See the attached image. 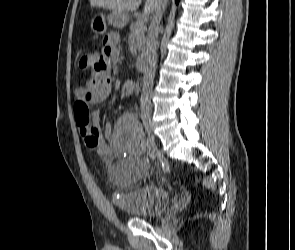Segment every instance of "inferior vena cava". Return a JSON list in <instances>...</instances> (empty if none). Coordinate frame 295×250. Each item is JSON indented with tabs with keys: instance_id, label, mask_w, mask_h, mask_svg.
<instances>
[{
	"instance_id": "inferior-vena-cava-1",
	"label": "inferior vena cava",
	"mask_w": 295,
	"mask_h": 250,
	"mask_svg": "<svg viewBox=\"0 0 295 250\" xmlns=\"http://www.w3.org/2000/svg\"><path fill=\"white\" fill-rule=\"evenodd\" d=\"M167 0H156L154 15L152 17L145 49V73L143 79V88L140 99L141 116H150L151 114V94L154 83L156 62H157V38L158 28L161 16L165 10Z\"/></svg>"
}]
</instances>
